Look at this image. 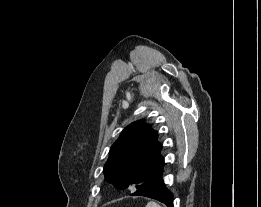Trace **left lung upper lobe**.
I'll return each instance as SVG.
<instances>
[{
    "mask_svg": "<svg viewBox=\"0 0 261 207\" xmlns=\"http://www.w3.org/2000/svg\"><path fill=\"white\" fill-rule=\"evenodd\" d=\"M157 132L144 120L128 125L112 145L104 166L105 179L118 190L138 187L163 171Z\"/></svg>",
    "mask_w": 261,
    "mask_h": 207,
    "instance_id": "5c2ea615",
    "label": "left lung upper lobe"
}]
</instances>
